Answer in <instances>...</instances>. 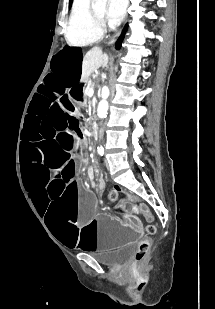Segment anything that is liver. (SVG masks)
<instances>
[{"label": "liver", "instance_id": "1", "mask_svg": "<svg viewBox=\"0 0 215 309\" xmlns=\"http://www.w3.org/2000/svg\"><path fill=\"white\" fill-rule=\"evenodd\" d=\"M109 62V56L106 52H102L100 46H93L91 50L86 52L82 62V74L81 82L89 80L91 72H94L96 68L100 66H107Z\"/></svg>", "mask_w": 215, "mask_h": 309}]
</instances>
